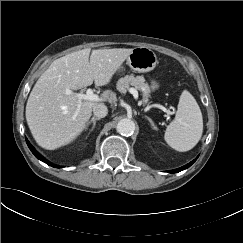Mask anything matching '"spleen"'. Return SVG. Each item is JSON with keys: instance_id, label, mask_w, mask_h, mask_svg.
Here are the masks:
<instances>
[{"instance_id": "obj_1", "label": "spleen", "mask_w": 243, "mask_h": 243, "mask_svg": "<svg viewBox=\"0 0 243 243\" xmlns=\"http://www.w3.org/2000/svg\"><path fill=\"white\" fill-rule=\"evenodd\" d=\"M203 132L202 113L195 98L184 90L180 96L174 120L167 126L164 139L179 152L192 149Z\"/></svg>"}]
</instances>
